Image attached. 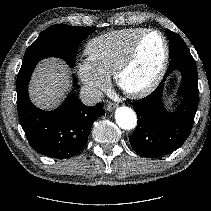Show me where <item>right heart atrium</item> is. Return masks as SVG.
Instances as JSON below:
<instances>
[{"label": "right heart atrium", "instance_id": "obj_1", "mask_svg": "<svg viewBox=\"0 0 211 211\" xmlns=\"http://www.w3.org/2000/svg\"><path fill=\"white\" fill-rule=\"evenodd\" d=\"M76 70L88 96L97 98L102 90L108 86L109 78L100 73L88 59L80 60L77 63Z\"/></svg>", "mask_w": 211, "mask_h": 211}]
</instances>
